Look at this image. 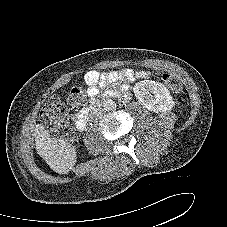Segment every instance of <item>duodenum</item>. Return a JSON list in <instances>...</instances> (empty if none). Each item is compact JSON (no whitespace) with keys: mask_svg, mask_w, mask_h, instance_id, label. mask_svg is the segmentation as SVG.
I'll list each match as a JSON object with an SVG mask.
<instances>
[{"mask_svg":"<svg viewBox=\"0 0 227 227\" xmlns=\"http://www.w3.org/2000/svg\"><path fill=\"white\" fill-rule=\"evenodd\" d=\"M107 96H109V94ZM98 105L99 102H94L78 114L75 121V125L78 130L82 131L86 128L90 113L92 112V110L97 108Z\"/></svg>","mask_w":227,"mask_h":227,"instance_id":"1","label":"duodenum"}]
</instances>
